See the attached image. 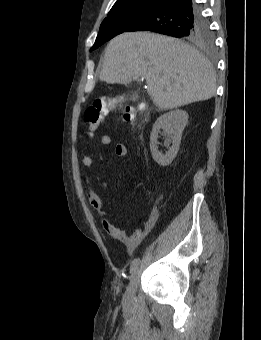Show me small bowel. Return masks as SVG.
Segmentation results:
<instances>
[{
  "label": "small bowel",
  "mask_w": 261,
  "mask_h": 340,
  "mask_svg": "<svg viewBox=\"0 0 261 340\" xmlns=\"http://www.w3.org/2000/svg\"><path fill=\"white\" fill-rule=\"evenodd\" d=\"M100 143L102 146H109L111 144V138L108 135H103L100 139ZM114 155L116 157H124L127 154V148L124 144L118 143L114 147ZM82 164L84 167H91L94 164V156L92 153H88L84 155L82 158ZM85 193L86 197L92 206V208L100 213L102 216L101 224L103 229L114 239L120 241L125 246L126 250L129 253H133L137 246L140 244L144 236L153 228L156 222V214L152 212L146 222L144 223L143 228L136 229L132 234L128 235L123 229H120L114 226L110 220L108 219L107 213L104 209L103 202L99 195L93 191L88 182L85 181Z\"/></svg>",
  "instance_id": "1"
}]
</instances>
